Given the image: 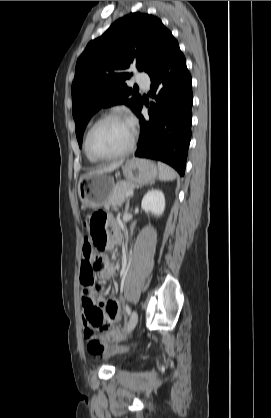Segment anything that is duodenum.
Wrapping results in <instances>:
<instances>
[{
	"label": "duodenum",
	"mask_w": 271,
	"mask_h": 418,
	"mask_svg": "<svg viewBox=\"0 0 271 418\" xmlns=\"http://www.w3.org/2000/svg\"><path fill=\"white\" fill-rule=\"evenodd\" d=\"M119 240H120V233L117 230V231L114 232V241L118 242Z\"/></svg>",
	"instance_id": "1"
}]
</instances>
